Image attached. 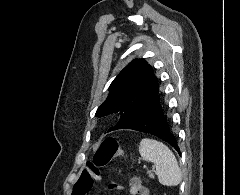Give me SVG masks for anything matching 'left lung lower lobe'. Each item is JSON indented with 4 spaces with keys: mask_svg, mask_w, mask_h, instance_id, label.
<instances>
[{
    "mask_svg": "<svg viewBox=\"0 0 240 195\" xmlns=\"http://www.w3.org/2000/svg\"><path fill=\"white\" fill-rule=\"evenodd\" d=\"M121 129H132L153 134L168 142L180 154L177 141L169 129L168 121L161 107L159 93L140 110L133 120Z\"/></svg>",
    "mask_w": 240,
    "mask_h": 195,
    "instance_id": "obj_1",
    "label": "left lung lower lobe"
}]
</instances>
